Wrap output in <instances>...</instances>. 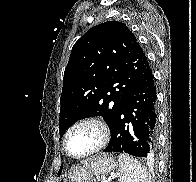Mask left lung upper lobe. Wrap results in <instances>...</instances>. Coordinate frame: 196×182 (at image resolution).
<instances>
[{
  "label": "left lung upper lobe",
  "mask_w": 196,
  "mask_h": 182,
  "mask_svg": "<svg viewBox=\"0 0 196 182\" xmlns=\"http://www.w3.org/2000/svg\"><path fill=\"white\" fill-rule=\"evenodd\" d=\"M148 66L136 37L122 22L107 21L88 30L73 46L64 72L60 138L78 120L97 115L112 132L125 97Z\"/></svg>",
  "instance_id": "left-lung-upper-lobe-1"
}]
</instances>
